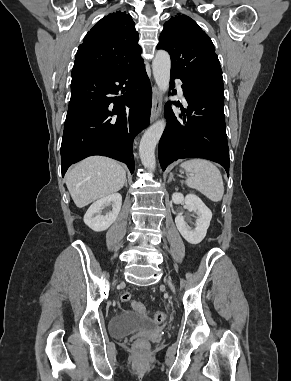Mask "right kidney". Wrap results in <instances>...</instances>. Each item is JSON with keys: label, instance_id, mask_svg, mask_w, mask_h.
Returning a JSON list of instances; mask_svg holds the SVG:
<instances>
[{"label": "right kidney", "instance_id": "obj_1", "mask_svg": "<svg viewBox=\"0 0 291 381\" xmlns=\"http://www.w3.org/2000/svg\"><path fill=\"white\" fill-rule=\"evenodd\" d=\"M122 205V196L119 193H113L100 198L94 202L84 215V223L93 231L101 232L107 230L117 219ZM112 207V210H104Z\"/></svg>", "mask_w": 291, "mask_h": 381}]
</instances>
